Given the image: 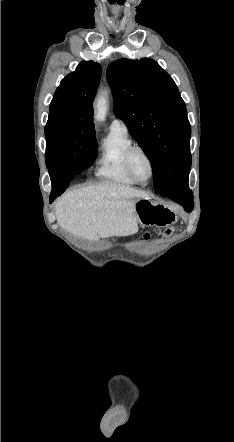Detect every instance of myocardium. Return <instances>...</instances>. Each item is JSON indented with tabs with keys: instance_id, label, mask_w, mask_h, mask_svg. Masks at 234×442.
I'll return each mask as SVG.
<instances>
[{
	"instance_id": "1",
	"label": "myocardium",
	"mask_w": 234,
	"mask_h": 442,
	"mask_svg": "<svg viewBox=\"0 0 234 442\" xmlns=\"http://www.w3.org/2000/svg\"><path fill=\"white\" fill-rule=\"evenodd\" d=\"M135 152L143 153L149 161L150 168H151V174H150V177L148 178V180L145 182L139 180L132 169L131 159H132V156ZM124 162H125V168L127 170V173L137 184L146 185L153 179V177L155 175V163H154V160H153L152 156L150 155V153L144 147L138 146V145H134V146L130 147L125 154Z\"/></svg>"
}]
</instances>
